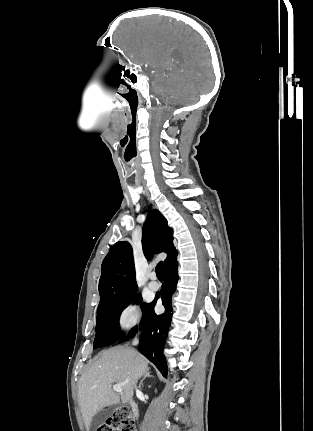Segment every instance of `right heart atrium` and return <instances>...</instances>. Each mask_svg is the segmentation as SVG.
<instances>
[{"instance_id":"obj_1","label":"right heart atrium","mask_w":313,"mask_h":431,"mask_svg":"<svg viewBox=\"0 0 313 431\" xmlns=\"http://www.w3.org/2000/svg\"><path fill=\"white\" fill-rule=\"evenodd\" d=\"M142 319V311L138 304L126 305L119 314V324L125 329L137 326Z\"/></svg>"}]
</instances>
